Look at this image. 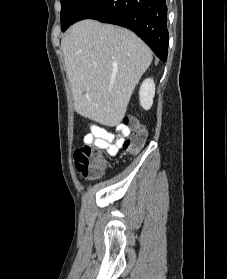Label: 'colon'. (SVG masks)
Segmentation results:
<instances>
[{"instance_id": "1", "label": "colon", "mask_w": 227, "mask_h": 279, "mask_svg": "<svg viewBox=\"0 0 227 279\" xmlns=\"http://www.w3.org/2000/svg\"><path fill=\"white\" fill-rule=\"evenodd\" d=\"M124 123L132 128L131 136L124 142L125 154H137L146 142L147 132L134 118L126 117ZM92 143L93 139L87 136L84 143L75 151L74 163L84 176L95 178L100 174L105 161L100 152L91 146Z\"/></svg>"}]
</instances>
